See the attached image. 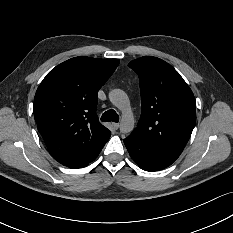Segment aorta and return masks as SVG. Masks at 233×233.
I'll use <instances>...</instances> for the list:
<instances>
[{
  "mask_svg": "<svg viewBox=\"0 0 233 233\" xmlns=\"http://www.w3.org/2000/svg\"><path fill=\"white\" fill-rule=\"evenodd\" d=\"M109 99L113 105L123 112L120 131L122 133L131 132L134 128V117L127 94L121 89H114L109 92Z\"/></svg>",
  "mask_w": 233,
  "mask_h": 233,
  "instance_id": "1",
  "label": "aorta"
}]
</instances>
